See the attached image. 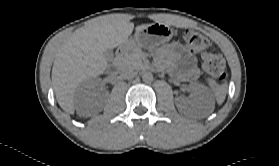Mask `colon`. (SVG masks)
Listing matches in <instances>:
<instances>
[{
    "mask_svg": "<svg viewBox=\"0 0 279 166\" xmlns=\"http://www.w3.org/2000/svg\"><path fill=\"white\" fill-rule=\"evenodd\" d=\"M182 39L190 50L202 52L201 63L203 69L217 82H223L227 76L224 59L214 51H204L208 46V39L195 31L184 32Z\"/></svg>",
    "mask_w": 279,
    "mask_h": 166,
    "instance_id": "obj_1",
    "label": "colon"
}]
</instances>
